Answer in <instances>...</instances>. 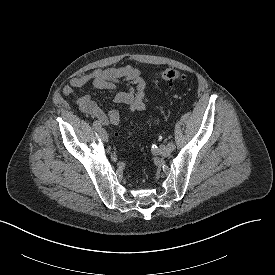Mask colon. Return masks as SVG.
Returning <instances> with one entry per match:
<instances>
[{"label":"colon","mask_w":275,"mask_h":275,"mask_svg":"<svg viewBox=\"0 0 275 275\" xmlns=\"http://www.w3.org/2000/svg\"><path fill=\"white\" fill-rule=\"evenodd\" d=\"M156 82L159 84L173 85L175 83H186V76L178 70L175 69H164L157 73Z\"/></svg>","instance_id":"obj_1"}]
</instances>
